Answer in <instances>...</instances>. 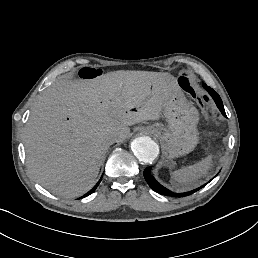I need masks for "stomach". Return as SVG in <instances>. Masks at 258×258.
Returning <instances> with one entry per match:
<instances>
[{"instance_id": "1", "label": "stomach", "mask_w": 258, "mask_h": 258, "mask_svg": "<svg viewBox=\"0 0 258 258\" xmlns=\"http://www.w3.org/2000/svg\"><path fill=\"white\" fill-rule=\"evenodd\" d=\"M162 114L166 126H148L147 129L159 140L166 161L186 156L198 145L199 111L185 96L178 79L172 77L171 90L163 102Z\"/></svg>"}]
</instances>
